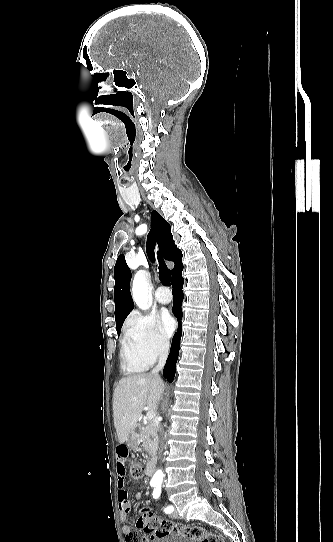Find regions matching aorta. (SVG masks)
Instances as JSON below:
<instances>
[{
	"mask_svg": "<svg viewBox=\"0 0 333 542\" xmlns=\"http://www.w3.org/2000/svg\"><path fill=\"white\" fill-rule=\"evenodd\" d=\"M132 298L140 310H148L150 308L149 290L144 272H138L133 280ZM163 478L164 474L162 470H157L151 482H154L157 488H161Z\"/></svg>",
	"mask_w": 333,
	"mask_h": 542,
	"instance_id": "762f6f07",
	"label": "aorta"
}]
</instances>
